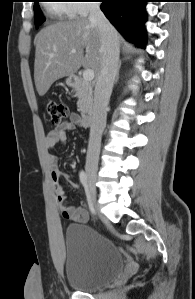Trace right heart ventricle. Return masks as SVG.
Instances as JSON below:
<instances>
[{
  "label": "right heart ventricle",
  "mask_w": 195,
  "mask_h": 299,
  "mask_svg": "<svg viewBox=\"0 0 195 299\" xmlns=\"http://www.w3.org/2000/svg\"><path fill=\"white\" fill-rule=\"evenodd\" d=\"M49 10L57 18L73 15L69 3H52L49 5Z\"/></svg>",
  "instance_id": "1"
}]
</instances>
